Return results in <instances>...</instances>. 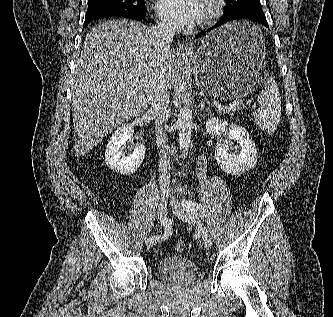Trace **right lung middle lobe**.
Listing matches in <instances>:
<instances>
[{"instance_id":"1","label":"right lung middle lobe","mask_w":333,"mask_h":317,"mask_svg":"<svg viewBox=\"0 0 333 317\" xmlns=\"http://www.w3.org/2000/svg\"><path fill=\"white\" fill-rule=\"evenodd\" d=\"M104 13L145 14L146 7L144 0H88L87 16Z\"/></svg>"}]
</instances>
